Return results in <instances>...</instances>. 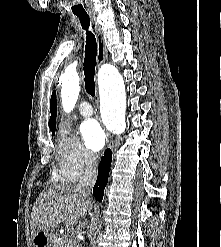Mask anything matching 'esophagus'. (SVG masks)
I'll return each instance as SVG.
<instances>
[{
  "instance_id": "esophagus-1",
  "label": "esophagus",
  "mask_w": 221,
  "mask_h": 247,
  "mask_svg": "<svg viewBox=\"0 0 221 247\" xmlns=\"http://www.w3.org/2000/svg\"><path fill=\"white\" fill-rule=\"evenodd\" d=\"M95 32H96V39H97V66L99 67L106 59H107V49L104 43L103 34L101 31L100 26L95 22ZM107 136V143L109 148L114 147V141L112 136L109 132H106Z\"/></svg>"
}]
</instances>
